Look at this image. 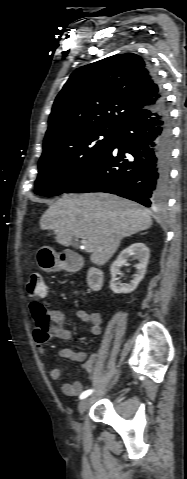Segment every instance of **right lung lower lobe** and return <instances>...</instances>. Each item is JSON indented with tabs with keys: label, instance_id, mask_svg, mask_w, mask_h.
<instances>
[{
	"label": "right lung lower lobe",
	"instance_id": "98d812e1",
	"mask_svg": "<svg viewBox=\"0 0 187 479\" xmlns=\"http://www.w3.org/2000/svg\"><path fill=\"white\" fill-rule=\"evenodd\" d=\"M156 83L154 72L148 66ZM162 97L119 129L110 149L65 193L107 192L146 207L164 205L169 184L172 126Z\"/></svg>",
	"mask_w": 187,
	"mask_h": 479
}]
</instances>
